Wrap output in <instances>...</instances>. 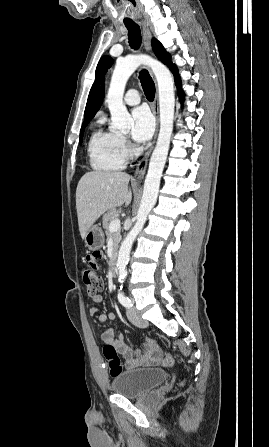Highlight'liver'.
Masks as SVG:
<instances>
[{
	"label": "liver",
	"mask_w": 269,
	"mask_h": 447,
	"mask_svg": "<svg viewBox=\"0 0 269 447\" xmlns=\"http://www.w3.org/2000/svg\"><path fill=\"white\" fill-rule=\"evenodd\" d=\"M125 172H87L76 190V208L81 237L110 208L129 206L132 192Z\"/></svg>",
	"instance_id": "1"
}]
</instances>
